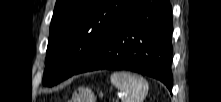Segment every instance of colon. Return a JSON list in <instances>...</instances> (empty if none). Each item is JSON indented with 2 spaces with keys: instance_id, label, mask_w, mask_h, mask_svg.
Returning <instances> with one entry per match:
<instances>
[{
  "instance_id": "obj_1",
  "label": "colon",
  "mask_w": 221,
  "mask_h": 102,
  "mask_svg": "<svg viewBox=\"0 0 221 102\" xmlns=\"http://www.w3.org/2000/svg\"><path fill=\"white\" fill-rule=\"evenodd\" d=\"M95 96L89 88H78L75 90L70 102H95Z\"/></svg>"
}]
</instances>
